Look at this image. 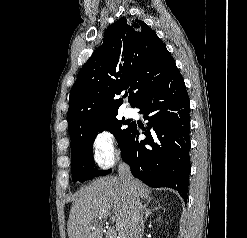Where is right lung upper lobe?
Instances as JSON below:
<instances>
[{
    "mask_svg": "<svg viewBox=\"0 0 247 238\" xmlns=\"http://www.w3.org/2000/svg\"><path fill=\"white\" fill-rule=\"evenodd\" d=\"M177 68L166 45L143 21L120 18L85 63L70 91L67 114L71 146L90 128L116 117L129 88L132 107Z\"/></svg>",
    "mask_w": 247,
    "mask_h": 238,
    "instance_id": "right-lung-upper-lobe-1",
    "label": "right lung upper lobe"
}]
</instances>
